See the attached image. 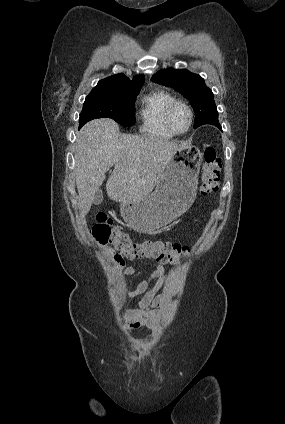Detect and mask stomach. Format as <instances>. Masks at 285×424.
<instances>
[{
  "label": "stomach",
  "mask_w": 285,
  "mask_h": 424,
  "mask_svg": "<svg viewBox=\"0 0 285 424\" xmlns=\"http://www.w3.org/2000/svg\"><path fill=\"white\" fill-rule=\"evenodd\" d=\"M202 154L196 147L176 151L155 190L140 200L121 203L125 222L139 232H153L183 215L196 198Z\"/></svg>",
  "instance_id": "1"
}]
</instances>
